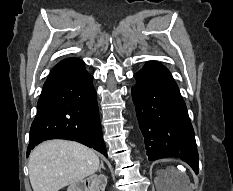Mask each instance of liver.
Returning a JSON list of instances; mask_svg holds the SVG:
<instances>
[{
  "mask_svg": "<svg viewBox=\"0 0 233 191\" xmlns=\"http://www.w3.org/2000/svg\"><path fill=\"white\" fill-rule=\"evenodd\" d=\"M95 152L74 141L49 140L29 156V178L33 191H59L94 174L99 168Z\"/></svg>",
  "mask_w": 233,
  "mask_h": 191,
  "instance_id": "obj_1",
  "label": "liver"
}]
</instances>
